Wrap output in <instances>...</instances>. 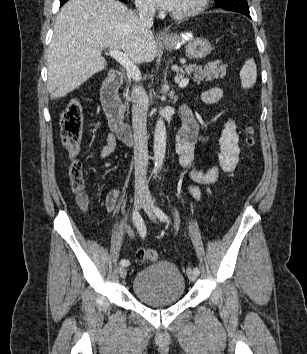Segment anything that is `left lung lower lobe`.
Masks as SVG:
<instances>
[{
	"label": "left lung lower lobe",
	"instance_id": "obj_1",
	"mask_svg": "<svg viewBox=\"0 0 307 354\" xmlns=\"http://www.w3.org/2000/svg\"><path fill=\"white\" fill-rule=\"evenodd\" d=\"M235 12L242 13V14L246 15L247 17L251 18V17L249 16V12H242V11H235Z\"/></svg>",
	"mask_w": 307,
	"mask_h": 354
}]
</instances>
